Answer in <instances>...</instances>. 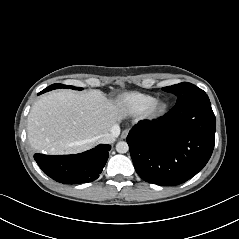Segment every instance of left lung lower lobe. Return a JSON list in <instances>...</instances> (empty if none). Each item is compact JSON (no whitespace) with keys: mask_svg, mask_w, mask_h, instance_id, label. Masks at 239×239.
I'll list each match as a JSON object with an SVG mask.
<instances>
[{"mask_svg":"<svg viewBox=\"0 0 239 239\" xmlns=\"http://www.w3.org/2000/svg\"><path fill=\"white\" fill-rule=\"evenodd\" d=\"M216 119L207 94L176 104L158 121H141L127 136L139 176L153 184L186 182L207 164L214 148Z\"/></svg>","mask_w":239,"mask_h":239,"instance_id":"1","label":"left lung lower lobe"}]
</instances>
